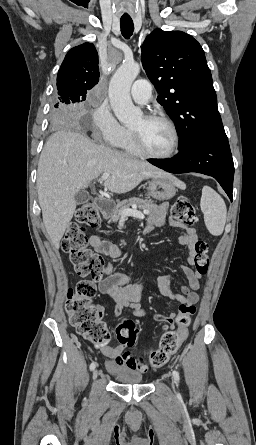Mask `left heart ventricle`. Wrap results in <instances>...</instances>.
Returning a JSON list of instances; mask_svg holds the SVG:
<instances>
[{"mask_svg": "<svg viewBox=\"0 0 256 445\" xmlns=\"http://www.w3.org/2000/svg\"><path fill=\"white\" fill-rule=\"evenodd\" d=\"M130 129L139 133L145 147L154 154H165L171 149L172 132L162 121H147L142 116L130 126Z\"/></svg>", "mask_w": 256, "mask_h": 445, "instance_id": "b2bd125f", "label": "left heart ventricle"}]
</instances>
